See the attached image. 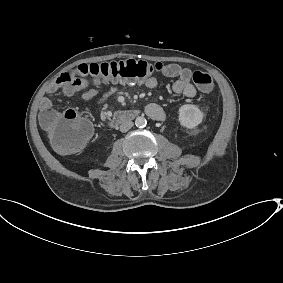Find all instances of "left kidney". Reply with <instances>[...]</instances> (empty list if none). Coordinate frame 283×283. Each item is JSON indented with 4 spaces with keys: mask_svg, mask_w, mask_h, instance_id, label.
I'll use <instances>...</instances> for the list:
<instances>
[{
    "mask_svg": "<svg viewBox=\"0 0 283 283\" xmlns=\"http://www.w3.org/2000/svg\"><path fill=\"white\" fill-rule=\"evenodd\" d=\"M178 122L188 134H196L204 123V113L193 104L182 105L178 110Z\"/></svg>",
    "mask_w": 283,
    "mask_h": 283,
    "instance_id": "5707ae66",
    "label": "left kidney"
}]
</instances>
